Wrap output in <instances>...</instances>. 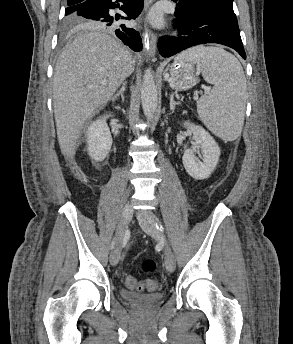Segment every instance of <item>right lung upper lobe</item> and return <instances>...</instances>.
I'll list each match as a JSON object with an SVG mask.
<instances>
[{
    "instance_id": "1",
    "label": "right lung upper lobe",
    "mask_w": 293,
    "mask_h": 344,
    "mask_svg": "<svg viewBox=\"0 0 293 344\" xmlns=\"http://www.w3.org/2000/svg\"><path fill=\"white\" fill-rule=\"evenodd\" d=\"M84 0H67L68 5H74V4H79Z\"/></svg>"
}]
</instances>
